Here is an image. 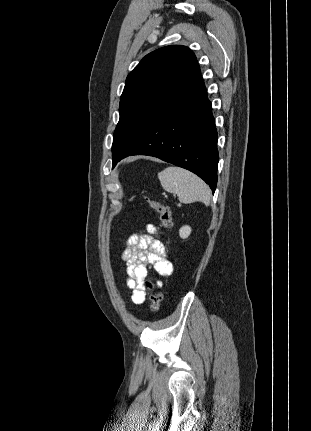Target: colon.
I'll list each match as a JSON object with an SVG mask.
<instances>
[{"instance_id": "colon-1", "label": "colon", "mask_w": 311, "mask_h": 431, "mask_svg": "<svg viewBox=\"0 0 311 431\" xmlns=\"http://www.w3.org/2000/svg\"><path fill=\"white\" fill-rule=\"evenodd\" d=\"M146 201L148 205L160 215V222L157 228V234L161 236L165 235V233L171 227L172 223L170 208L159 201L151 200L148 198H146ZM146 287L149 290L151 309L153 312H157L161 306L162 294L156 288L155 283L151 279H148L146 281Z\"/></svg>"}]
</instances>
